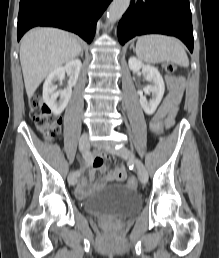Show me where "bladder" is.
<instances>
[{
  "mask_svg": "<svg viewBox=\"0 0 219 258\" xmlns=\"http://www.w3.org/2000/svg\"><path fill=\"white\" fill-rule=\"evenodd\" d=\"M81 204L83 211L93 216L126 218L140 210L142 200L128 187L114 185L94 192L82 200Z\"/></svg>",
  "mask_w": 219,
  "mask_h": 258,
  "instance_id": "31cf9c89",
  "label": "bladder"
}]
</instances>
